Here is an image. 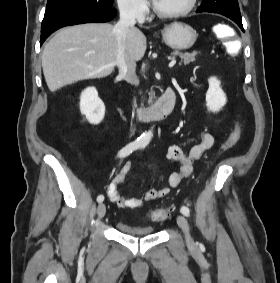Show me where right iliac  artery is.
I'll use <instances>...</instances> for the list:
<instances>
[{"instance_id":"1","label":"right iliac artery","mask_w":280,"mask_h":283,"mask_svg":"<svg viewBox=\"0 0 280 283\" xmlns=\"http://www.w3.org/2000/svg\"><path fill=\"white\" fill-rule=\"evenodd\" d=\"M142 146L143 144L140 141L131 142L119 151L118 156L120 158H124ZM103 200H104V196L102 194L97 197L98 203L103 202Z\"/></svg>"}]
</instances>
